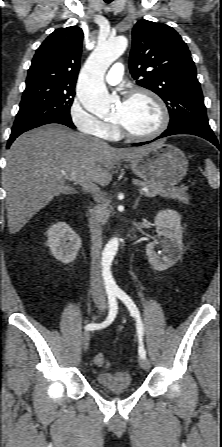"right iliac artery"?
Masks as SVG:
<instances>
[{"mask_svg": "<svg viewBox=\"0 0 222 447\" xmlns=\"http://www.w3.org/2000/svg\"><path fill=\"white\" fill-rule=\"evenodd\" d=\"M108 304H109V314H108L107 319L100 324H96V323L87 324L85 326L86 330H96V329L105 328L114 320V318L116 317V314H117V309H118L115 293H111V292L108 293Z\"/></svg>", "mask_w": 222, "mask_h": 447, "instance_id": "1", "label": "right iliac artery"}]
</instances>
